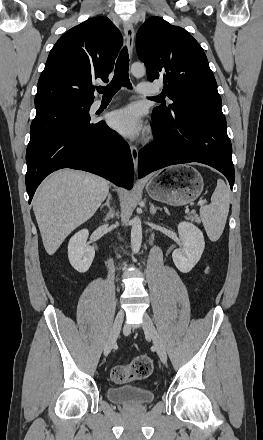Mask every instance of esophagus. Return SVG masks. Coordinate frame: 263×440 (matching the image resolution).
I'll use <instances>...</instances> for the list:
<instances>
[{
  "mask_svg": "<svg viewBox=\"0 0 263 440\" xmlns=\"http://www.w3.org/2000/svg\"><path fill=\"white\" fill-rule=\"evenodd\" d=\"M123 27H124V34H125L128 52H129V55L131 56L133 53V46H134V35H135L134 27H133L131 21L124 22ZM130 150H131L134 170L136 172L137 166H138V154H139L138 148L135 145H131Z\"/></svg>",
  "mask_w": 263,
  "mask_h": 440,
  "instance_id": "esophagus-1",
  "label": "esophagus"
}]
</instances>
